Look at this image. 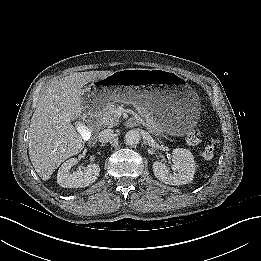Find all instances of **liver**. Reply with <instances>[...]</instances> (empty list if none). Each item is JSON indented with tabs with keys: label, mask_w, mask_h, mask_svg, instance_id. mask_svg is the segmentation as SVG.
<instances>
[{
	"label": "liver",
	"mask_w": 261,
	"mask_h": 261,
	"mask_svg": "<svg viewBox=\"0 0 261 261\" xmlns=\"http://www.w3.org/2000/svg\"><path fill=\"white\" fill-rule=\"evenodd\" d=\"M113 73L108 70L72 73L44 89L29 128V156L42 180L50 179L63 161L83 149L85 138L71 123L85 109L83 88Z\"/></svg>",
	"instance_id": "obj_1"
}]
</instances>
